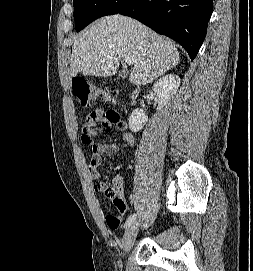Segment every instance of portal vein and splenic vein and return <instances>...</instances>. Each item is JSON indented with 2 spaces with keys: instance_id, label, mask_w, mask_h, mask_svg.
Returning a JSON list of instances; mask_svg holds the SVG:
<instances>
[{
  "instance_id": "portal-vein-and-splenic-vein-1",
  "label": "portal vein and splenic vein",
  "mask_w": 253,
  "mask_h": 271,
  "mask_svg": "<svg viewBox=\"0 0 253 271\" xmlns=\"http://www.w3.org/2000/svg\"><path fill=\"white\" fill-rule=\"evenodd\" d=\"M125 63L128 64V65H132L133 64V62L130 59H125Z\"/></svg>"
}]
</instances>
